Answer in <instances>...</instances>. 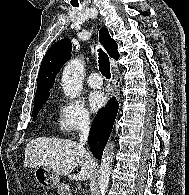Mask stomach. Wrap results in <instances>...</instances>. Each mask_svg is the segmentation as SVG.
<instances>
[{
	"mask_svg": "<svg viewBox=\"0 0 189 195\" xmlns=\"http://www.w3.org/2000/svg\"><path fill=\"white\" fill-rule=\"evenodd\" d=\"M34 177L45 189H53L59 184V175L49 167L41 166L34 169Z\"/></svg>",
	"mask_w": 189,
	"mask_h": 195,
	"instance_id": "obj_1",
	"label": "stomach"
}]
</instances>
